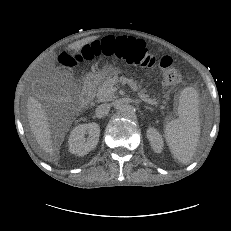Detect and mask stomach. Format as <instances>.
<instances>
[{
  "label": "stomach",
  "mask_w": 231,
  "mask_h": 231,
  "mask_svg": "<svg viewBox=\"0 0 231 231\" xmlns=\"http://www.w3.org/2000/svg\"><path fill=\"white\" fill-rule=\"evenodd\" d=\"M113 72H115V70L111 66L104 67L101 70L97 68H92V72H90L88 76L92 80H101Z\"/></svg>",
  "instance_id": "1"
}]
</instances>
